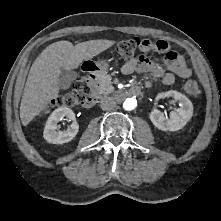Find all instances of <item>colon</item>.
<instances>
[{"mask_svg": "<svg viewBox=\"0 0 221 221\" xmlns=\"http://www.w3.org/2000/svg\"><path fill=\"white\" fill-rule=\"evenodd\" d=\"M143 44L144 40L138 37L123 40L116 46V52L124 59H131ZM184 88L185 91L193 98H199L201 96L200 87L195 80H188L185 83ZM91 90L92 79L88 78L87 76L81 77L76 81L72 91L58 96L53 101V104L59 107H73L83 104L85 98L90 95Z\"/></svg>", "mask_w": 221, "mask_h": 221, "instance_id": "colon-1", "label": "colon"}]
</instances>
